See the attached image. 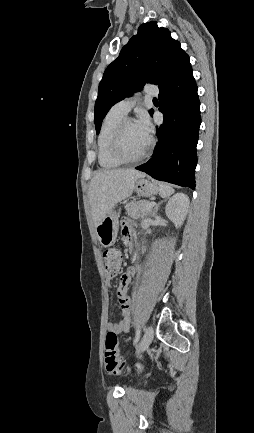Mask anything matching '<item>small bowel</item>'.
<instances>
[{
    "mask_svg": "<svg viewBox=\"0 0 254 433\" xmlns=\"http://www.w3.org/2000/svg\"><path fill=\"white\" fill-rule=\"evenodd\" d=\"M122 234L126 241L133 239L134 231L132 225L125 221L122 226ZM136 269L130 268L127 272L123 273L120 277L117 298L120 303V317L121 319L116 322H107L106 329L108 331L115 332L116 334L127 333L130 327L131 319V297L129 295L128 286L131 282L132 277L135 275ZM117 273L110 275L107 274L108 283Z\"/></svg>",
    "mask_w": 254,
    "mask_h": 433,
    "instance_id": "1",
    "label": "small bowel"
}]
</instances>
